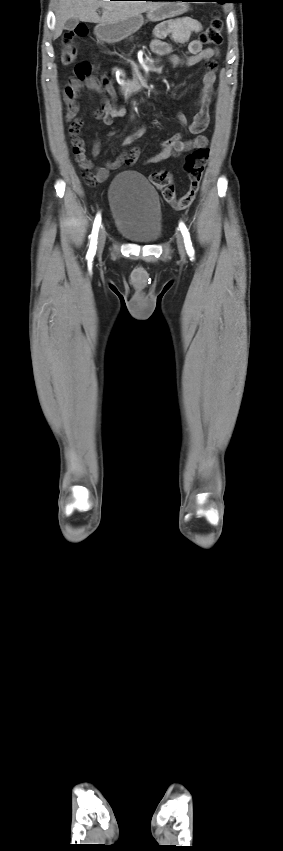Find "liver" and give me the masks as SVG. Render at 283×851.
<instances>
[{"label":"liver","mask_w":283,"mask_h":851,"mask_svg":"<svg viewBox=\"0 0 283 851\" xmlns=\"http://www.w3.org/2000/svg\"><path fill=\"white\" fill-rule=\"evenodd\" d=\"M156 1H110V0H59L56 9L54 38H58L68 19L84 22L113 24L140 15L159 6ZM103 9L102 16L97 9Z\"/></svg>","instance_id":"obj_1"}]
</instances>
